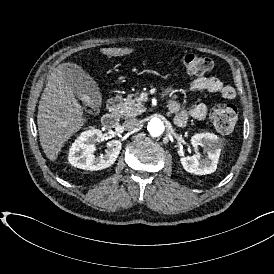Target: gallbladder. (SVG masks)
<instances>
[{"label":"gallbladder","mask_w":274,"mask_h":274,"mask_svg":"<svg viewBox=\"0 0 274 274\" xmlns=\"http://www.w3.org/2000/svg\"><path fill=\"white\" fill-rule=\"evenodd\" d=\"M63 76L68 87L83 105L92 110L102 105L103 99L99 94L98 85L88 73L71 64L64 69Z\"/></svg>","instance_id":"gallbladder-1"}]
</instances>
